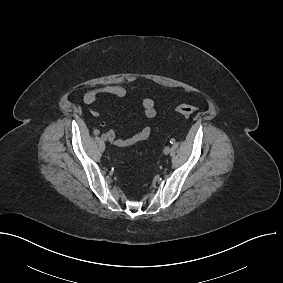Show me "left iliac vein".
Masks as SVG:
<instances>
[{"label": "left iliac vein", "instance_id": "left-iliac-vein-1", "mask_svg": "<svg viewBox=\"0 0 283 283\" xmlns=\"http://www.w3.org/2000/svg\"><path fill=\"white\" fill-rule=\"evenodd\" d=\"M171 148L169 146H166L163 150L164 154L167 155L170 153Z\"/></svg>", "mask_w": 283, "mask_h": 283}]
</instances>
